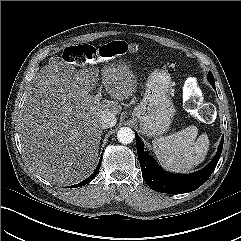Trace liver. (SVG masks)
<instances>
[{
    "label": "liver",
    "instance_id": "1",
    "mask_svg": "<svg viewBox=\"0 0 241 241\" xmlns=\"http://www.w3.org/2000/svg\"><path fill=\"white\" fill-rule=\"evenodd\" d=\"M99 70H75L64 61L41 68L26 95L19 122L20 139L30 167L58 185L78 183L94 170L102 135L100 115L120 114L119 102L136 92L129 65L110 64L102 84L112 100L90 94Z\"/></svg>",
    "mask_w": 241,
    "mask_h": 241
}]
</instances>
